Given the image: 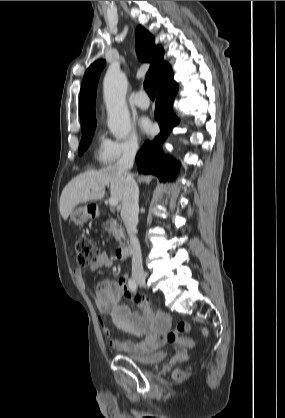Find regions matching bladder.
Wrapping results in <instances>:
<instances>
[{
	"mask_svg": "<svg viewBox=\"0 0 285 418\" xmlns=\"http://www.w3.org/2000/svg\"><path fill=\"white\" fill-rule=\"evenodd\" d=\"M126 356L139 364H153L161 362L165 358V353L162 350H153L145 352H133L126 353Z\"/></svg>",
	"mask_w": 285,
	"mask_h": 418,
	"instance_id": "bladder-1",
	"label": "bladder"
}]
</instances>
